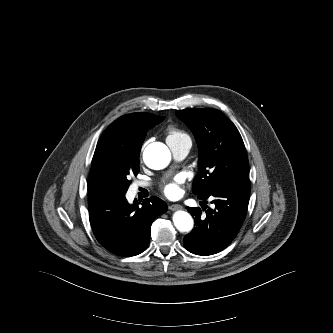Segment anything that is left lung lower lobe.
Segmentation results:
<instances>
[{"mask_svg":"<svg viewBox=\"0 0 333 333\" xmlns=\"http://www.w3.org/2000/svg\"><path fill=\"white\" fill-rule=\"evenodd\" d=\"M214 199L213 209L201 216L200 208L187 207L195 217L196 227L184 237L188 251L196 255H212L226 248L239 232L245 219L250 182L221 187L210 194L198 196L201 200ZM205 210V209H203Z\"/></svg>","mask_w":333,"mask_h":333,"instance_id":"0a47b994","label":"left lung lower lobe"}]
</instances>
